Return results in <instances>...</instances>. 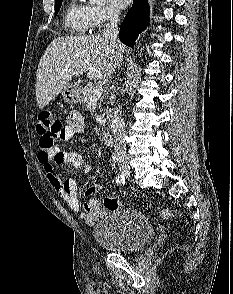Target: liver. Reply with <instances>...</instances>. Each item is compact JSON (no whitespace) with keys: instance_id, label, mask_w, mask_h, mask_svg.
Instances as JSON below:
<instances>
[{"instance_id":"1","label":"liver","mask_w":233,"mask_h":294,"mask_svg":"<svg viewBox=\"0 0 233 294\" xmlns=\"http://www.w3.org/2000/svg\"><path fill=\"white\" fill-rule=\"evenodd\" d=\"M124 46L101 35L59 37L47 47L36 72V100L43 109L77 76L107 78L122 59Z\"/></svg>"}]
</instances>
